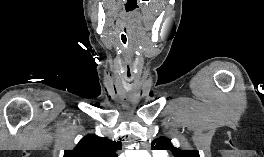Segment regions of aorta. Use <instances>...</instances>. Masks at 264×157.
<instances>
[{
  "label": "aorta",
  "mask_w": 264,
  "mask_h": 157,
  "mask_svg": "<svg viewBox=\"0 0 264 157\" xmlns=\"http://www.w3.org/2000/svg\"><path fill=\"white\" fill-rule=\"evenodd\" d=\"M126 157H149L148 153L142 150H129L126 152Z\"/></svg>",
  "instance_id": "obj_1"
}]
</instances>
